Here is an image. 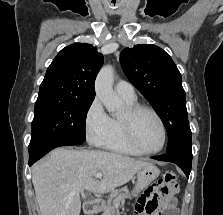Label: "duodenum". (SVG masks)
Here are the masks:
<instances>
[{"label":"duodenum","mask_w":223,"mask_h":215,"mask_svg":"<svg viewBox=\"0 0 223 215\" xmlns=\"http://www.w3.org/2000/svg\"><path fill=\"white\" fill-rule=\"evenodd\" d=\"M101 210V205L98 200L89 199L84 204L85 215H98Z\"/></svg>","instance_id":"1"}]
</instances>
